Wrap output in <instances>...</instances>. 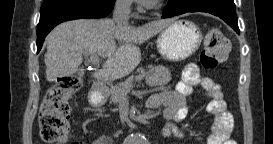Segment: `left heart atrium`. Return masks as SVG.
Wrapping results in <instances>:
<instances>
[{"instance_id":"obj_1","label":"left heart atrium","mask_w":273,"mask_h":144,"mask_svg":"<svg viewBox=\"0 0 273 144\" xmlns=\"http://www.w3.org/2000/svg\"><path fill=\"white\" fill-rule=\"evenodd\" d=\"M143 5L152 7L156 4L157 0H139Z\"/></svg>"}]
</instances>
